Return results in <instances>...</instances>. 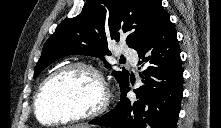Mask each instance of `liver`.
<instances>
[{"label": "liver", "instance_id": "obj_1", "mask_svg": "<svg viewBox=\"0 0 221 128\" xmlns=\"http://www.w3.org/2000/svg\"><path fill=\"white\" fill-rule=\"evenodd\" d=\"M70 128H90L89 125H75V126H70Z\"/></svg>", "mask_w": 221, "mask_h": 128}]
</instances>
